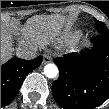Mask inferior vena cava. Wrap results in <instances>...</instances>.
Instances as JSON below:
<instances>
[{
	"instance_id": "inferior-vena-cava-1",
	"label": "inferior vena cava",
	"mask_w": 109,
	"mask_h": 109,
	"mask_svg": "<svg viewBox=\"0 0 109 109\" xmlns=\"http://www.w3.org/2000/svg\"><path fill=\"white\" fill-rule=\"evenodd\" d=\"M37 48L33 45H25L16 48V56L21 59H33L37 56Z\"/></svg>"
}]
</instances>
